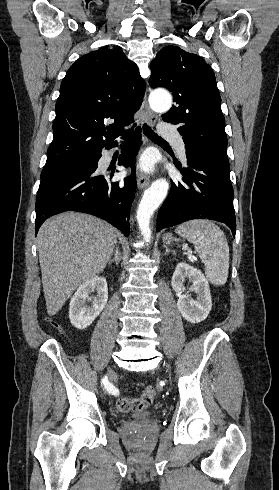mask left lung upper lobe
Instances as JSON below:
<instances>
[{"instance_id":"1","label":"left lung upper lobe","mask_w":279,"mask_h":490,"mask_svg":"<svg viewBox=\"0 0 279 490\" xmlns=\"http://www.w3.org/2000/svg\"><path fill=\"white\" fill-rule=\"evenodd\" d=\"M149 84L173 93L177 105L162 118L180 125L178 131L185 148H207L228 158L225 118L215 75L201 57L176 46L163 48L151 62Z\"/></svg>"}]
</instances>
